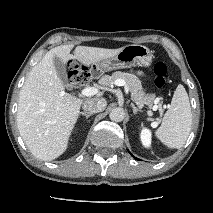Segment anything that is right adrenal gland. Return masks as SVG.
Listing matches in <instances>:
<instances>
[{
	"instance_id": "2a0ac1e0",
	"label": "right adrenal gland",
	"mask_w": 213,
	"mask_h": 213,
	"mask_svg": "<svg viewBox=\"0 0 213 213\" xmlns=\"http://www.w3.org/2000/svg\"><path fill=\"white\" fill-rule=\"evenodd\" d=\"M91 115H92V113H89V112H81L80 113V116H85L86 119H88Z\"/></svg>"
}]
</instances>
